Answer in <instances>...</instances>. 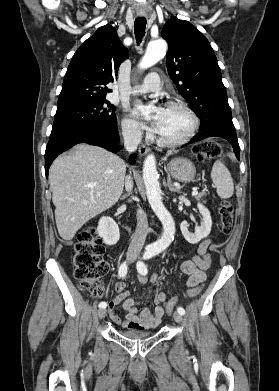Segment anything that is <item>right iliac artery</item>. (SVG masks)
<instances>
[{"instance_id": "obj_1", "label": "right iliac artery", "mask_w": 279, "mask_h": 391, "mask_svg": "<svg viewBox=\"0 0 279 391\" xmlns=\"http://www.w3.org/2000/svg\"><path fill=\"white\" fill-rule=\"evenodd\" d=\"M127 271H128V266L126 264V262H123L120 267H119V276L124 278L127 274ZM107 306V303L106 302H101L99 304V307L102 308V309H105Z\"/></svg>"}]
</instances>
